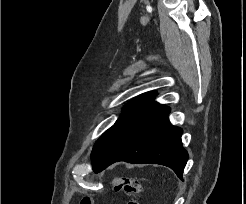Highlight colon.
Returning <instances> with one entry per match:
<instances>
[{
  "instance_id": "colon-1",
  "label": "colon",
  "mask_w": 246,
  "mask_h": 204,
  "mask_svg": "<svg viewBox=\"0 0 246 204\" xmlns=\"http://www.w3.org/2000/svg\"><path fill=\"white\" fill-rule=\"evenodd\" d=\"M112 186L115 191H121L129 197L127 204H138L137 196L140 192L138 182L131 177H118L112 181ZM79 204H93L89 196L81 199Z\"/></svg>"
}]
</instances>
